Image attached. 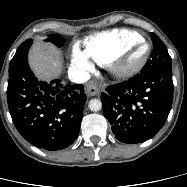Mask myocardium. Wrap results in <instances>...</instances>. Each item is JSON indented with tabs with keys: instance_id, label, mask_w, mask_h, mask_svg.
<instances>
[{
	"instance_id": "f54148a6",
	"label": "myocardium",
	"mask_w": 187,
	"mask_h": 187,
	"mask_svg": "<svg viewBox=\"0 0 187 187\" xmlns=\"http://www.w3.org/2000/svg\"><path fill=\"white\" fill-rule=\"evenodd\" d=\"M139 43H144L147 46V50L143 58L135 65L131 67H125L124 62L129 54V52ZM152 45L151 43L141 37L140 39L133 41L124 45L120 50H118L105 64L106 69L109 73L118 79H126L132 77L142 70L146 65L150 55H151Z\"/></svg>"
}]
</instances>
